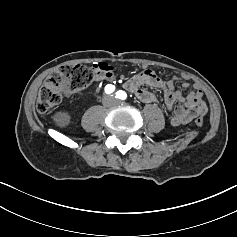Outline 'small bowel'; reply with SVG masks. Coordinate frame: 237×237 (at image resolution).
I'll list each match as a JSON object with an SVG mask.
<instances>
[{
    "mask_svg": "<svg viewBox=\"0 0 237 237\" xmlns=\"http://www.w3.org/2000/svg\"><path fill=\"white\" fill-rule=\"evenodd\" d=\"M114 76H98L97 80H113ZM174 78L163 80L153 71L144 69L124 82V88L133 93L143 102H155L158 96L155 92L148 90L145 86L160 91L163 95L164 106L170 113V122L173 125H184L191 122L197 116L207 113V106L203 99V93L197 85L186 96L179 90L174 89ZM183 88H189L187 81L182 83ZM69 93V92H66Z\"/></svg>",
    "mask_w": 237,
    "mask_h": 237,
    "instance_id": "1",
    "label": "small bowel"
}]
</instances>
